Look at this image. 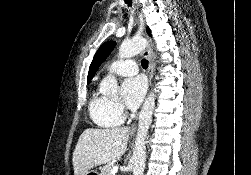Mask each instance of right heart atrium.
<instances>
[{
    "mask_svg": "<svg viewBox=\"0 0 251 175\" xmlns=\"http://www.w3.org/2000/svg\"><path fill=\"white\" fill-rule=\"evenodd\" d=\"M113 111H114V114L116 115V117L120 121H122L125 118V112H124V109L121 105H119V104L113 105Z\"/></svg>",
    "mask_w": 251,
    "mask_h": 175,
    "instance_id": "d8ad5b80",
    "label": "right heart atrium"
}]
</instances>
